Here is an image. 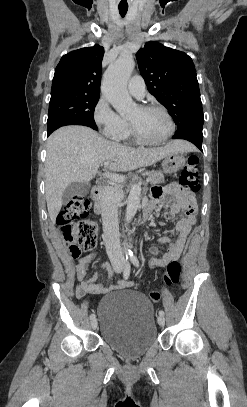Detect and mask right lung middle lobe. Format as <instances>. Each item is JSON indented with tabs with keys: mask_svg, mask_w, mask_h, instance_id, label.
Segmentation results:
<instances>
[{
	"mask_svg": "<svg viewBox=\"0 0 247 407\" xmlns=\"http://www.w3.org/2000/svg\"><path fill=\"white\" fill-rule=\"evenodd\" d=\"M100 95L60 93L52 95L49 103L48 130L62 125L78 124L97 130L94 109Z\"/></svg>",
	"mask_w": 247,
	"mask_h": 407,
	"instance_id": "dd1d6c3e",
	"label": "right lung middle lobe"
}]
</instances>
